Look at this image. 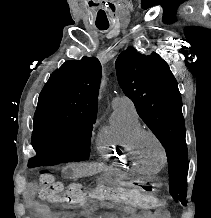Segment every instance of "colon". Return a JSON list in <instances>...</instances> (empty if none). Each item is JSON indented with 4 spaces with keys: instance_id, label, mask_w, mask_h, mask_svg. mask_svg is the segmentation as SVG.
<instances>
[{
    "instance_id": "colon-1",
    "label": "colon",
    "mask_w": 211,
    "mask_h": 218,
    "mask_svg": "<svg viewBox=\"0 0 211 218\" xmlns=\"http://www.w3.org/2000/svg\"><path fill=\"white\" fill-rule=\"evenodd\" d=\"M39 196L58 204H81L95 200L138 209H161L164 205L161 199L144 187L109 185L87 187L78 183L64 185L48 171L40 172Z\"/></svg>"
}]
</instances>
